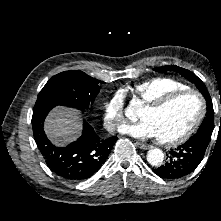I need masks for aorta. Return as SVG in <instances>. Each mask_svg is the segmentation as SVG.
Masks as SVG:
<instances>
[{
	"label": "aorta",
	"instance_id": "762f6f07",
	"mask_svg": "<svg viewBox=\"0 0 221 221\" xmlns=\"http://www.w3.org/2000/svg\"><path fill=\"white\" fill-rule=\"evenodd\" d=\"M132 112V108L127 110V115L130 116ZM164 160V153L162 150L158 148L150 149L147 153V161L152 166H159L163 163Z\"/></svg>",
	"mask_w": 221,
	"mask_h": 221
}]
</instances>
